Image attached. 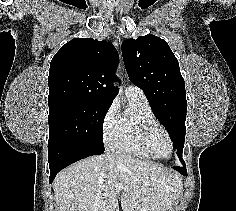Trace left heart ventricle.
Instances as JSON below:
<instances>
[{
	"label": "left heart ventricle",
	"mask_w": 236,
	"mask_h": 211,
	"mask_svg": "<svg viewBox=\"0 0 236 211\" xmlns=\"http://www.w3.org/2000/svg\"><path fill=\"white\" fill-rule=\"evenodd\" d=\"M148 144L155 154L166 156L169 153L170 145L168 139L160 130H156L150 135Z\"/></svg>",
	"instance_id": "obj_1"
}]
</instances>
